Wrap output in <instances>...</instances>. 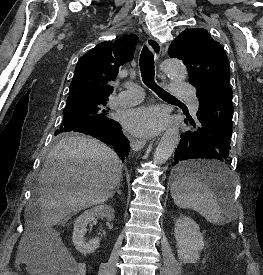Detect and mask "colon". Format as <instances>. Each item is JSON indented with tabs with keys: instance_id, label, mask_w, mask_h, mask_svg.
Instances as JSON below:
<instances>
[{
	"instance_id": "5ec220e1",
	"label": "colon",
	"mask_w": 263,
	"mask_h": 275,
	"mask_svg": "<svg viewBox=\"0 0 263 275\" xmlns=\"http://www.w3.org/2000/svg\"><path fill=\"white\" fill-rule=\"evenodd\" d=\"M51 256V270L63 275H80L81 265L69 259L58 246L49 248Z\"/></svg>"
}]
</instances>
